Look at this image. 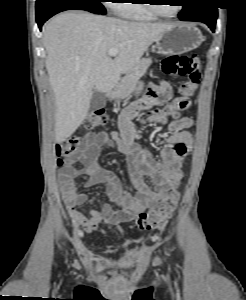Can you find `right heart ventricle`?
I'll list each match as a JSON object with an SVG mask.
<instances>
[{"label":"right heart ventricle","instance_id":"1","mask_svg":"<svg viewBox=\"0 0 246 300\" xmlns=\"http://www.w3.org/2000/svg\"><path fill=\"white\" fill-rule=\"evenodd\" d=\"M146 0H127L123 3H117L115 6L116 13L124 18L135 21L151 22L157 20L156 16L145 3Z\"/></svg>","mask_w":246,"mask_h":300}]
</instances>
